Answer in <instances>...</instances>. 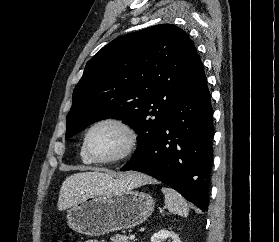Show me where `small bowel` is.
Here are the masks:
<instances>
[{
	"mask_svg": "<svg viewBox=\"0 0 279 242\" xmlns=\"http://www.w3.org/2000/svg\"><path fill=\"white\" fill-rule=\"evenodd\" d=\"M86 242H99V241H97V240H88Z\"/></svg>",
	"mask_w": 279,
	"mask_h": 242,
	"instance_id": "c3829d8e",
	"label": "small bowel"
}]
</instances>
